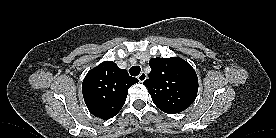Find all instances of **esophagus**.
<instances>
[{
    "label": "esophagus",
    "instance_id": "1",
    "mask_svg": "<svg viewBox=\"0 0 276 138\" xmlns=\"http://www.w3.org/2000/svg\"><path fill=\"white\" fill-rule=\"evenodd\" d=\"M146 78H147V75H146V73L145 72H141L139 75H138V80H139V82H144L145 80H146Z\"/></svg>",
    "mask_w": 276,
    "mask_h": 138
}]
</instances>
